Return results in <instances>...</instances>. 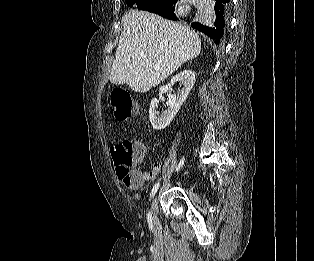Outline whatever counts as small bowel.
<instances>
[{"instance_id": "obj_1", "label": "small bowel", "mask_w": 314, "mask_h": 261, "mask_svg": "<svg viewBox=\"0 0 314 261\" xmlns=\"http://www.w3.org/2000/svg\"><path fill=\"white\" fill-rule=\"evenodd\" d=\"M145 152H146V145L144 144V151L139 156V158L137 159V162H143L144 161ZM160 171H161V164L157 162V163L153 164L151 171H149V172L138 171V172L143 174V176H144L143 181H150V180H153L159 174Z\"/></svg>"}]
</instances>
